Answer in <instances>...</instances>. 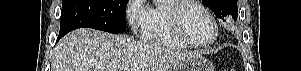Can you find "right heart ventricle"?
I'll use <instances>...</instances> for the list:
<instances>
[{
    "mask_svg": "<svg viewBox=\"0 0 301 71\" xmlns=\"http://www.w3.org/2000/svg\"><path fill=\"white\" fill-rule=\"evenodd\" d=\"M142 38L153 45L172 49L189 47L176 36L165 6L160 4L149 8L147 20L142 28Z\"/></svg>",
    "mask_w": 301,
    "mask_h": 71,
    "instance_id": "1",
    "label": "right heart ventricle"
}]
</instances>
